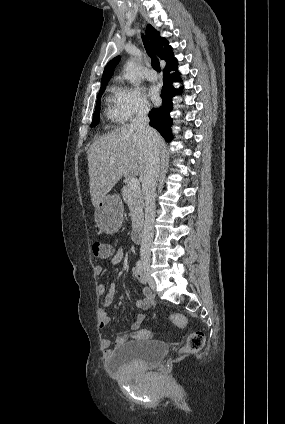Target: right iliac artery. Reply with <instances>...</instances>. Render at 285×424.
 I'll return each mask as SVG.
<instances>
[{
	"mask_svg": "<svg viewBox=\"0 0 285 424\" xmlns=\"http://www.w3.org/2000/svg\"><path fill=\"white\" fill-rule=\"evenodd\" d=\"M136 266L140 271H143L144 267L142 261H137Z\"/></svg>",
	"mask_w": 285,
	"mask_h": 424,
	"instance_id": "82829eb1",
	"label": "right iliac artery"
}]
</instances>
